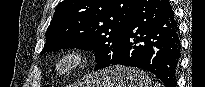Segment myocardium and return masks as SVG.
<instances>
[{
	"label": "myocardium",
	"mask_w": 205,
	"mask_h": 87,
	"mask_svg": "<svg viewBox=\"0 0 205 87\" xmlns=\"http://www.w3.org/2000/svg\"><path fill=\"white\" fill-rule=\"evenodd\" d=\"M89 62L88 53L82 48H68L56 55L53 72L58 77H67L85 68Z\"/></svg>",
	"instance_id": "f54148a6"
}]
</instances>
